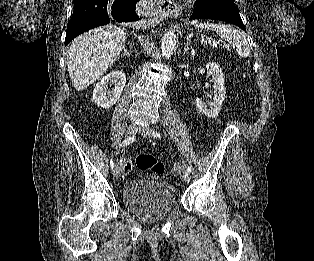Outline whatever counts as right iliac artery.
Instances as JSON below:
<instances>
[{
	"mask_svg": "<svg viewBox=\"0 0 314 261\" xmlns=\"http://www.w3.org/2000/svg\"><path fill=\"white\" fill-rule=\"evenodd\" d=\"M135 139H136V138H135L134 136L129 137V138L125 139V140L119 145V147H123V146H125V145H129V144L133 143V142L135 141ZM110 167H111V169L114 168V161H113V159L110 160Z\"/></svg>",
	"mask_w": 314,
	"mask_h": 261,
	"instance_id": "right-iliac-artery-1",
	"label": "right iliac artery"
}]
</instances>
